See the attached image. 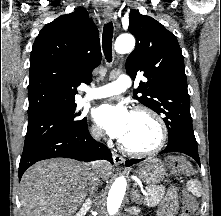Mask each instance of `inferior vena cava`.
Instances as JSON below:
<instances>
[{
    "mask_svg": "<svg viewBox=\"0 0 221 216\" xmlns=\"http://www.w3.org/2000/svg\"><path fill=\"white\" fill-rule=\"evenodd\" d=\"M101 136H102V133L100 131L93 132V137L95 139H100ZM89 180H91L94 185H98L99 183V179L96 174L89 173ZM91 202H92L91 199L87 200V203H91Z\"/></svg>",
    "mask_w": 221,
    "mask_h": 216,
    "instance_id": "602c4592",
    "label": "inferior vena cava"
}]
</instances>
